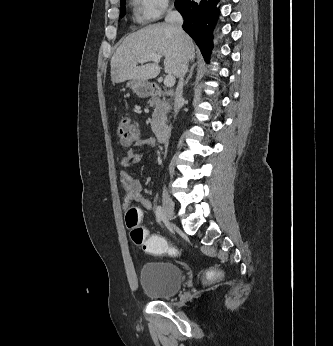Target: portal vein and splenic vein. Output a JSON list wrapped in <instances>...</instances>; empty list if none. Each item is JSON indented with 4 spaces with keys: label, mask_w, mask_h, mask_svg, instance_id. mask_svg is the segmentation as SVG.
Returning <instances> with one entry per match:
<instances>
[{
    "label": "portal vein and splenic vein",
    "mask_w": 333,
    "mask_h": 346,
    "mask_svg": "<svg viewBox=\"0 0 333 346\" xmlns=\"http://www.w3.org/2000/svg\"><path fill=\"white\" fill-rule=\"evenodd\" d=\"M160 59H161V55L153 54V55H149L147 57H144L139 62L145 63V62L153 61L154 63L158 64L160 62ZM174 84H175V77L173 75H167L164 79V85L166 87H173Z\"/></svg>",
    "instance_id": "portal-vein-and-splenic-vein-1"
}]
</instances>
